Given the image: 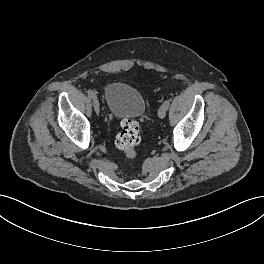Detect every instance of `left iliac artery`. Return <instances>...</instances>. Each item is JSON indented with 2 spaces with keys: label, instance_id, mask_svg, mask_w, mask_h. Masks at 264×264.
I'll list each match as a JSON object with an SVG mask.
<instances>
[{
  "label": "left iliac artery",
  "instance_id": "44dca946",
  "mask_svg": "<svg viewBox=\"0 0 264 264\" xmlns=\"http://www.w3.org/2000/svg\"><path fill=\"white\" fill-rule=\"evenodd\" d=\"M163 105L168 109L169 108V105H170V102L169 100H166Z\"/></svg>",
  "mask_w": 264,
  "mask_h": 264
}]
</instances>
